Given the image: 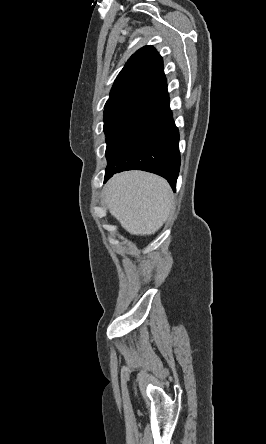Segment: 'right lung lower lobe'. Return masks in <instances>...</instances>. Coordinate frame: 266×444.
Listing matches in <instances>:
<instances>
[{
  "mask_svg": "<svg viewBox=\"0 0 266 444\" xmlns=\"http://www.w3.org/2000/svg\"><path fill=\"white\" fill-rule=\"evenodd\" d=\"M179 133L169 104L107 160L106 182L125 170H144L164 177L176 190L180 168Z\"/></svg>",
  "mask_w": 266,
  "mask_h": 444,
  "instance_id": "obj_1",
  "label": "right lung lower lobe"
}]
</instances>
